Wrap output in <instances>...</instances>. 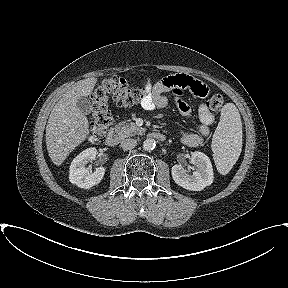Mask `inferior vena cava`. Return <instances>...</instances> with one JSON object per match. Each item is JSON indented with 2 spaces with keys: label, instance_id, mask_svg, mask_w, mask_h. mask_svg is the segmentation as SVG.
Returning a JSON list of instances; mask_svg holds the SVG:
<instances>
[{
  "label": "inferior vena cava",
  "instance_id": "1",
  "mask_svg": "<svg viewBox=\"0 0 288 288\" xmlns=\"http://www.w3.org/2000/svg\"><path fill=\"white\" fill-rule=\"evenodd\" d=\"M136 145H137V141L132 138H127L121 142V147L123 150H131L135 148Z\"/></svg>",
  "mask_w": 288,
  "mask_h": 288
}]
</instances>
